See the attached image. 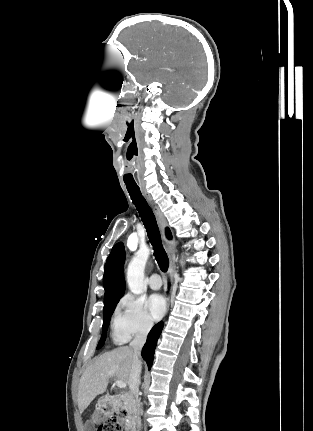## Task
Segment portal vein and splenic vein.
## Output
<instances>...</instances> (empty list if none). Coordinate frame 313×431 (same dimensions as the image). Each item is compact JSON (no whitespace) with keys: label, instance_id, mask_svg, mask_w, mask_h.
Returning <instances> with one entry per match:
<instances>
[{"label":"portal vein and splenic vein","instance_id":"portal-vein-and-splenic-vein-1","mask_svg":"<svg viewBox=\"0 0 313 431\" xmlns=\"http://www.w3.org/2000/svg\"><path fill=\"white\" fill-rule=\"evenodd\" d=\"M116 386H117L118 388H120V389H123V388H125V387H126V383H125V382H123V381H121V380H117V381H116Z\"/></svg>","mask_w":313,"mask_h":431}]
</instances>
